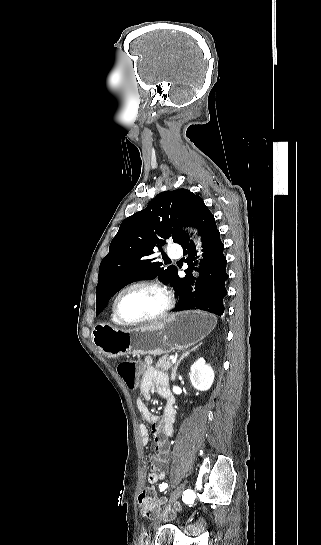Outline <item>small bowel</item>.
Here are the masks:
<instances>
[{
	"mask_svg": "<svg viewBox=\"0 0 321 545\" xmlns=\"http://www.w3.org/2000/svg\"><path fill=\"white\" fill-rule=\"evenodd\" d=\"M156 387L157 393L168 399V405L163 417H158L151 413L147 408L146 402L150 399ZM141 397L137 399V407L147 422L150 423V431L155 441L156 454L151 457L153 472L148 476V482L151 485L165 479L169 460L170 444L169 438L173 436V423L175 411L173 408V399L169 390L168 376L161 370L152 366L151 359L145 360V369L139 384ZM141 444L146 446L149 442V430L144 425H139Z\"/></svg>",
	"mask_w": 321,
	"mask_h": 545,
	"instance_id": "1",
	"label": "small bowel"
}]
</instances>
